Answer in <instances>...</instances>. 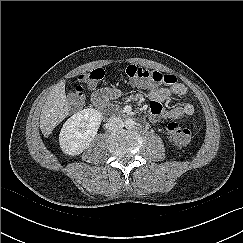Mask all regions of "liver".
Returning <instances> with one entry per match:
<instances>
[{"mask_svg": "<svg viewBox=\"0 0 243 243\" xmlns=\"http://www.w3.org/2000/svg\"><path fill=\"white\" fill-rule=\"evenodd\" d=\"M69 114V104L65 94V84H57L47 95L40 115V129L48 137L53 129Z\"/></svg>", "mask_w": 243, "mask_h": 243, "instance_id": "liver-1", "label": "liver"}]
</instances>
